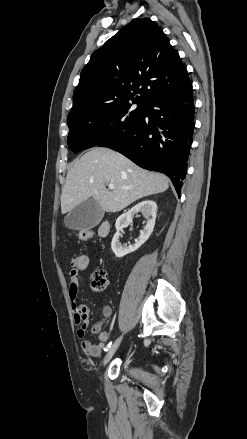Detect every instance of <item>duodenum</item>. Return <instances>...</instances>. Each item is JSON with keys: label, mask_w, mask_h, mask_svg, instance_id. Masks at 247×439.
<instances>
[{"label": "duodenum", "mask_w": 247, "mask_h": 439, "mask_svg": "<svg viewBox=\"0 0 247 439\" xmlns=\"http://www.w3.org/2000/svg\"><path fill=\"white\" fill-rule=\"evenodd\" d=\"M110 232V224L108 222H104L99 227L98 233L101 237H105Z\"/></svg>", "instance_id": "duodenum-1"}]
</instances>
